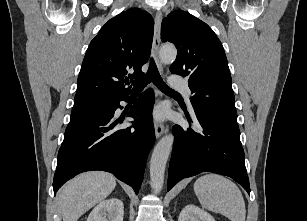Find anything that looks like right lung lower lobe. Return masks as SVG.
Returning a JSON list of instances; mask_svg holds the SVG:
<instances>
[{"label":"right lung lower lobe","mask_w":307,"mask_h":221,"mask_svg":"<svg viewBox=\"0 0 307 221\" xmlns=\"http://www.w3.org/2000/svg\"><path fill=\"white\" fill-rule=\"evenodd\" d=\"M121 100L127 98L113 102L106 114L66 128L58 152L54 193L75 175L92 170L110 172L138 193L155 142L151 116L154 97L148 89L137 99L128 114L136 123L129 127H120L123 120L114 118Z\"/></svg>","instance_id":"98d812e1"}]
</instances>
